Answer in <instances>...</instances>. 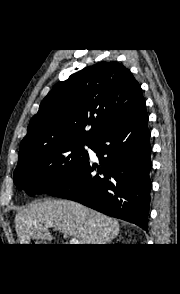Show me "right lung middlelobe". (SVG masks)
Segmentation results:
<instances>
[{
	"label": "right lung middle lobe",
	"mask_w": 180,
	"mask_h": 294,
	"mask_svg": "<svg viewBox=\"0 0 180 294\" xmlns=\"http://www.w3.org/2000/svg\"><path fill=\"white\" fill-rule=\"evenodd\" d=\"M92 142H71L38 150L18 162L14 183L28 195L48 193L68 181L89 159L84 146Z\"/></svg>",
	"instance_id": "dd1d6c3e"
}]
</instances>
